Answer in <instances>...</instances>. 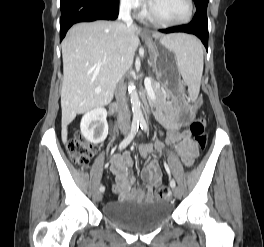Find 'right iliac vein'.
<instances>
[{"instance_id":"63e3f726","label":"right iliac vein","mask_w":264,"mask_h":247,"mask_svg":"<svg viewBox=\"0 0 264 247\" xmlns=\"http://www.w3.org/2000/svg\"><path fill=\"white\" fill-rule=\"evenodd\" d=\"M101 199H102V193L99 192V191H96V192L94 193V200H95L96 202H99V201H101Z\"/></svg>"}]
</instances>
